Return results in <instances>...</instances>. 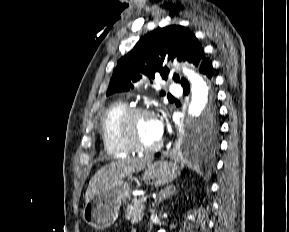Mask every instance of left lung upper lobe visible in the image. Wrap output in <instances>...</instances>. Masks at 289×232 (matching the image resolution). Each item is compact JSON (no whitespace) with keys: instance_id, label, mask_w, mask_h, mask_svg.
Here are the masks:
<instances>
[{"instance_id":"obj_1","label":"left lung upper lobe","mask_w":289,"mask_h":232,"mask_svg":"<svg viewBox=\"0 0 289 232\" xmlns=\"http://www.w3.org/2000/svg\"><path fill=\"white\" fill-rule=\"evenodd\" d=\"M166 56L168 60L177 57L179 61H188L199 66L204 54L197 38L187 28L179 25L158 28L146 34L132 51L118 60L106 95L128 91L142 78L141 74L147 75L150 79L160 75L166 80L169 70L162 68ZM173 79L181 85L187 82L176 74ZM161 94L165 95L164 92ZM217 137L218 123L213 112L192 130L189 137L190 146L211 152L217 146Z\"/></svg>"}]
</instances>
